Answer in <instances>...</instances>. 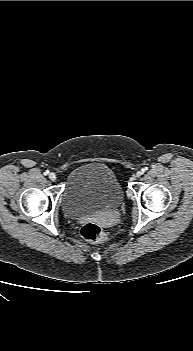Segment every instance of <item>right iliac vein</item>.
<instances>
[{
  "instance_id": "right-iliac-vein-1",
  "label": "right iliac vein",
  "mask_w": 193,
  "mask_h": 351,
  "mask_svg": "<svg viewBox=\"0 0 193 351\" xmlns=\"http://www.w3.org/2000/svg\"><path fill=\"white\" fill-rule=\"evenodd\" d=\"M49 179H50L51 181H55V180L57 179L56 174H55L54 172H51V173L49 174Z\"/></svg>"
}]
</instances>
